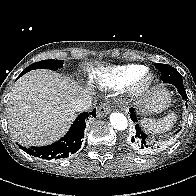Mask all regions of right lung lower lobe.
<instances>
[{
	"mask_svg": "<svg viewBox=\"0 0 196 196\" xmlns=\"http://www.w3.org/2000/svg\"><path fill=\"white\" fill-rule=\"evenodd\" d=\"M20 76H22V74H20L19 77ZM91 116H96V109L90 113L84 112L80 114L73 122L68 133L57 142L42 147L33 146L26 148L20 146V148L29 155L47 160L66 158L69 155L76 153L81 148L85 122Z\"/></svg>",
	"mask_w": 196,
	"mask_h": 196,
	"instance_id": "1",
	"label": "right lung lower lobe"
}]
</instances>
